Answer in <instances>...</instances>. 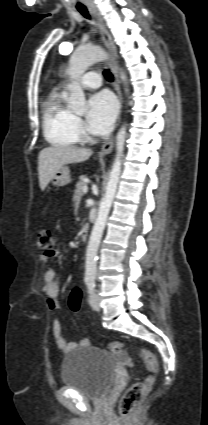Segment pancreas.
<instances>
[{"label": "pancreas", "instance_id": "pancreas-1", "mask_svg": "<svg viewBox=\"0 0 208 425\" xmlns=\"http://www.w3.org/2000/svg\"><path fill=\"white\" fill-rule=\"evenodd\" d=\"M85 179H86V176H80L79 182L76 185V190L73 197L75 212L77 211L81 198L84 195L83 187L86 186Z\"/></svg>", "mask_w": 208, "mask_h": 425}]
</instances>
